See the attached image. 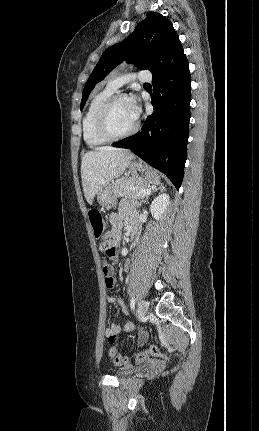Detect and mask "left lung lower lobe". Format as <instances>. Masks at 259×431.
Instances as JSON below:
<instances>
[{"instance_id":"0a47b994","label":"left lung lower lobe","mask_w":259,"mask_h":431,"mask_svg":"<svg viewBox=\"0 0 259 431\" xmlns=\"http://www.w3.org/2000/svg\"><path fill=\"white\" fill-rule=\"evenodd\" d=\"M154 112L142 130L113 146L128 148L163 172L180 188L189 136L191 77L188 60L177 40L152 72Z\"/></svg>"}]
</instances>
